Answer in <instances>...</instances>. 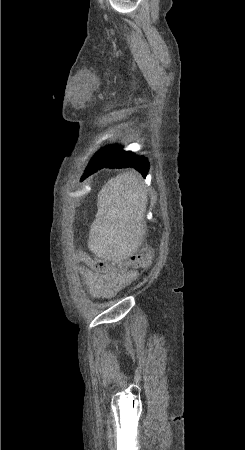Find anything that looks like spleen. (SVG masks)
Returning a JSON list of instances; mask_svg holds the SVG:
<instances>
[{
    "label": "spleen",
    "mask_w": 245,
    "mask_h": 450,
    "mask_svg": "<svg viewBox=\"0 0 245 450\" xmlns=\"http://www.w3.org/2000/svg\"><path fill=\"white\" fill-rule=\"evenodd\" d=\"M147 191L141 176L129 171L111 178L98 194V212L88 246L106 260L128 258L146 234Z\"/></svg>",
    "instance_id": "1"
}]
</instances>
